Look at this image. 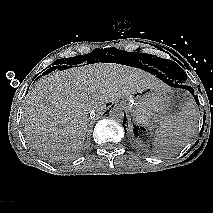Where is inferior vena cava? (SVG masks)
<instances>
[{
  "label": "inferior vena cava",
  "mask_w": 213,
  "mask_h": 213,
  "mask_svg": "<svg viewBox=\"0 0 213 213\" xmlns=\"http://www.w3.org/2000/svg\"><path fill=\"white\" fill-rule=\"evenodd\" d=\"M89 117L91 119H94L96 117V112L95 111L90 112Z\"/></svg>",
  "instance_id": "inferior-vena-cava-1"
}]
</instances>
